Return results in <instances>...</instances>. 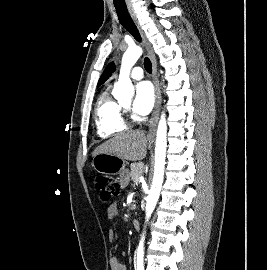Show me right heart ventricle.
<instances>
[{
    "instance_id": "e07e8e85",
    "label": "right heart ventricle",
    "mask_w": 267,
    "mask_h": 270,
    "mask_svg": "<svg viewBox=\"0 0 267 270\" xmlns=\"http://www.w3.org/2000/svg\"><path fill=\"white\" fill-rule=\"evenodd\" d=\"M95 125L97 135L109 138L128 129L122 106L105 89L98 97L95 106Z\"/></svg>"
}]
</instances>
